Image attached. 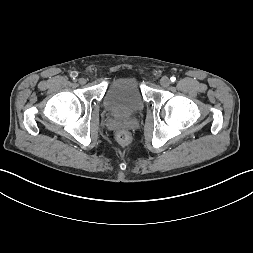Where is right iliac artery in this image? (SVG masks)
Instances as JSON below:
<instances>
[{
    "label": "right iliac artery",
    "instance_id": "obj_1",
    "mask_svg": "<svg viewBox=\"0 0 253 253\" xmlns=\"http://www.w3.org/2000/svg\"><path fill=\"white\" fill-rule=\"evenodd\" d=\"M77 76H78V74H76V73H73V74L71 75V77L73 78V80H76Z\"/></svg>",
    "mask_w": 253,
    "mask_h": 253
}]
</instances>
